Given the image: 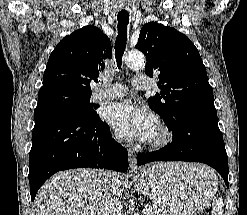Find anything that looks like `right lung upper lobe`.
<instances>
[{
  "instance_id": "obj_1",
  "label": "right lung upper lobe",
  "mask_w": 247,
  "mask_h": 215,
  "mask_svg": "<svg viewBox=\"0 0 247 215\" xmlns=\"http://www.w3.org/2000/svg\"><path fill=\"white\" fill-rule=\"evenodd\" d=\"M111 42L100 29L85 26L64 37L50 54L43 89L66 88L91 95L104 60L111 58Z\"/></svg>"
}]
</instances>
